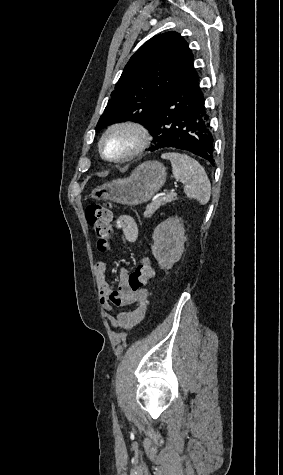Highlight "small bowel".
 I'll list each match as a JSON object with an SVG mask.
<instances>
[{"instance_id":"small-bowel-1","label":"small bowel","mask_w":283,"mask_h":475,"mask_svg":"<svg viewBox=\"0 0 283 475\" xmlns=\"http://www.w3.org/2000/svg\"><path fill=\"white\" fill-rule=\"evenodd\" d=\"M114 228L122 231L125 242L135 243L137 241L139 229L136 220L132 216H119L115 221ZM129 274V269L125 267L120 268V285L118 290H114L106 278L107 264L104 261H98L94 265V276L99 301L105 310L106 320L115 330H130L136 327L143 320L150 305L149 291H138L137 296H126L125 289L129 287ZM127 306L132 307L130 309H122ZM115 309H117L116 315H110L109 312Z\"/></svg>"}]
</instances>
